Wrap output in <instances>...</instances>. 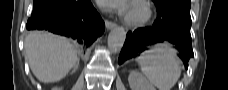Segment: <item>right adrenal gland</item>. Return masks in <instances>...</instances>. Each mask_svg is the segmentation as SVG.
<instances>
[{
  "mask_svg": "<svg viewBox=\"0 0 228 90\" xmlns=\"http://www.w3.org/2000/svg\"><path fill=\"white\" fill-rule=\"evenodd\" d=\"M79 67V60L77 61L76 65L73 68V72H75Z\"/></svg>",
  "mask_w": 228,
  "mask_h": 90,
  "instance_id": "2a0ac1e0",
  "label": "right adrenal gland"
}]
</instances>
